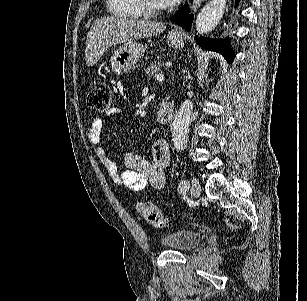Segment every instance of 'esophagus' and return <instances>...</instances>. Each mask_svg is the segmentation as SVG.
Listing matches in <instances>:
<instances>
[{"label":"esophagus","mask_w":307,"mask_h":301,"mask_svg":"<svg viewBox=\"0 0 307 301\" xmlns=\"http://www.w3.org/2000/svg\"><path fill=\"white\" fill-rule=\"evenodd\" d=\"M204 0H193L192 2V10H196L200 5L201 3L203 2ZM173 35H177V34H181V31H179L177 28L173 29L172 32Z\"/></svg>","instance_id":"1"}]
</instances>
